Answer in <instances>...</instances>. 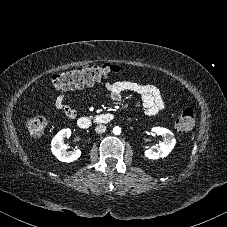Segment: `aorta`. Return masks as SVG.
<instances>
[{"label":"aorta","mask_w":227,"mask_h":227,"mask_svg":"<svg viewBox=\"0 0 227 227\" xmlns=\"http://www.w3.org/2000/svg\"><path fill=\"white\" fill-rule=\"evenodd\" d=\"M113 133H114L115 135H119V134L121 133V128L118 127V126L114 127V128H113Z\"/></svg>","instance_id":"762f6f07"}]
</instances>
